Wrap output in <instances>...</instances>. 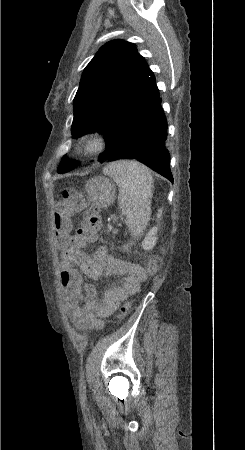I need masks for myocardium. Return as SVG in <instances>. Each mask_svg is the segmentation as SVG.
Wrapping results in <instances>:
<instances>
[{
    "label": "myocardium",
    "mask_w": 245,
    "mask_h": 450,
    "mask_svg": "<svg viewBox=\"0 0 245 450\" xmlns=\"http://www.w3.org/2000/svg\"><path fill=\"white\" fill-rule=\"evenodd\" d=\"M107 148V140L102 134L90 135L83 141L82 152L87 156H97Z\"/></svg>",
    "instance_id": "myocardium-1"
}]
</instances>
